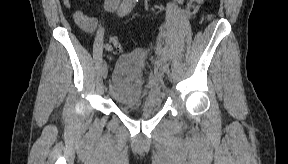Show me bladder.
Returning <instances> with one entry per match:
<instances>
[{"instance_id":"1","label":"bladder","mask_w":288,"mask_h":164,"mask_svg":"<svg viewBox=\"0 0 288 164\" xmlns=\"http://www.w3.org/2000/svg\"><path fill=\"white\" fill-rule=\"evenodd\" d=\"M145 54H126L114 66L109 83V96L124 113L154 114L160 109V98L155 90L144 85L141 68Z\"/></svg>"}]
</instances>
